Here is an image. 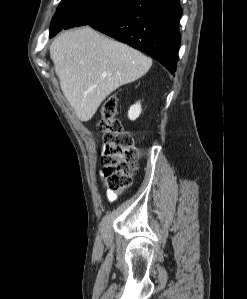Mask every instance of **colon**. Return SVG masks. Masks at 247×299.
I'll list each match as a JSON object with an SVG mask.
<instances>
[{"instance_id":"5ec220e1","label":"colon","mask_w":247,"mask_h":299,"mask_svg":"<svg viewBox=\"0 0 247 299\" xmlns=\"http://www.w3.org/2000/svg\"><path fill=\"white\" fill-rule=\"evenodd\" d=\"M97 129L105 144L102 164L106 184L112 192L121 193L131 184L138 150L133 137L124 130L122 122L117 118L116 96L110 95L104 101Z\"/></svg>"}]
</instances>
